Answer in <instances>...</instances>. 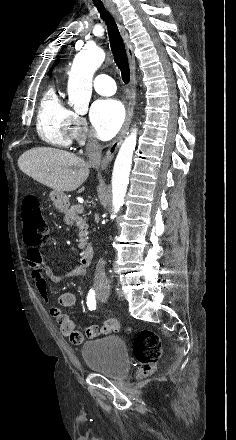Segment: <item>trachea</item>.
I'll list each match as a JSON object with an SVG mask.
<instances>
[{
  "label": "trachea",
  "mask_w": 236,
  "mask_h": 440,
  "mask_svg": "<svg viewBox=\"0 0 236 440\" xmlns=\"http://www.w3.org/2000/svg\"><path fill=\"white\" fill-rule=\"evenodd\" d=\"M94 5L98 9L102 19L106 22L108 28V34L110 39L111 51L114 56V61L121 71L122 80L125 84L130 81V68L128 63V57L126 54L125 46L117 24L111 17L109 12L104 8L102 2H94Z\"/></svg>",
  "instance_id": "1"
}]
</instances>
